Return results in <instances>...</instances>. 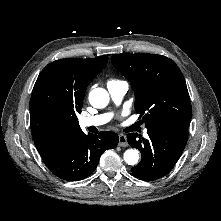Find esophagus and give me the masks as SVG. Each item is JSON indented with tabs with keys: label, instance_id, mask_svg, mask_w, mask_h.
I'll return each instance as SVG.
<instances>
[{
	"label": "esophagus",
	"instance_id": "34e87169",
	"mask_svg": "<svg viewBox=\"0 0 221 221\" xmlns=\"http://www.w3.org/2000/svg\"><path fill=\"white\" fill-rule=\"evenodd\" d=\"M119 145L121 147H126L128 146L127 138L124 134L119 135Z\"/></svg>",
	"mask_w": 221,
	"mask_h": 221
}]
</instances>
